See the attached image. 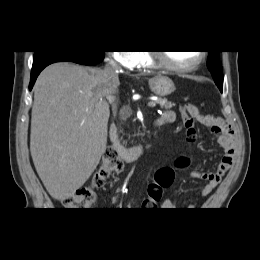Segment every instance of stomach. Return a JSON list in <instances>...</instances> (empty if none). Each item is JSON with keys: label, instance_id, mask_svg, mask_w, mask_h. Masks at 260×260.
Listing matches in <instances>:
<instances>
[{"label": "stomach", "instance_id": "stomach-1", "mask_svg": "<svg viewBox=\"0 0 260 260\" xmlns=\"http://www.w3.org/2000/svg\"><path fill=\"white\" fill-rule=\"evenodd\" d=\"M151 91L159 96L166 97L175 91L173 81L167 76H155L148 81Z\"/></svg>", "mask_w": 260, "mask_h": 260}]
</instances>
